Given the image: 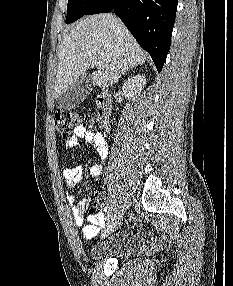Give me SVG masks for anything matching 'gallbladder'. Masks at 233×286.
<instances>
[{
	"mask_svg": "<svg viewBox=\"0 0 233 286\" xmlns=\"http://www.w3.org/2000/svg\"><path fill=\"white\" fill-rule=\"evenodd\" d=\"M93 86L92 75L89 73L82 74L56 99V107L61 110L76 107L87 98Z\"/></svg>",
	"mask_w": 233,
	"mask_h": 286,
	"instance_id": "bac80fb5",
	"label": "gallbladder"
}]
</instances>
